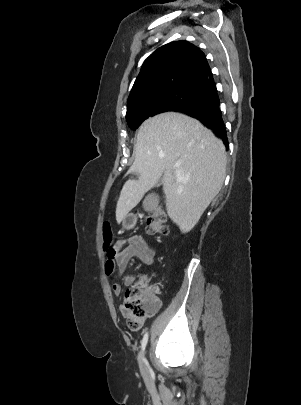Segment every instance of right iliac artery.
I'll use <instances>...</instances> for the list:
<instances>
[{"mask_svg": "<svg viewBox=\"0 0 301 405\" xmlns=\"http://www.w3.org/2000/svg\"><path fill=\"white\" fill-rule=\"evenodd\" d=\"M147 341H148V333H145V335H144V337H143V339H142V341H141L142 350L145 349L146 344H147Z\"/></svg>", "mask_w": 301, "mask_h": 405, "instance_id": "obj_1", "label": "right iliac artery"}]
</instances>
